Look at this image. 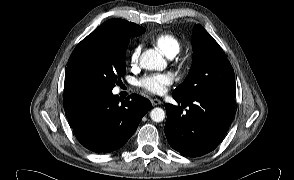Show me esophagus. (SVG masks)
<instances>
[{"label": "esophagus", "instance_id": "34e87169", "mask_svg": "<svg viewBox=\"0 0 294 180\" xmlns=\"http://www.w3.org/2000/svg\"><path fill=\"white\" fill-rule=\"evenodd\" d=\"M151 103L153 106L161 105L162 102L159 99H151Z\"/></svg>", "mask_w": 294, "mask_h": 180}]
</instances>
